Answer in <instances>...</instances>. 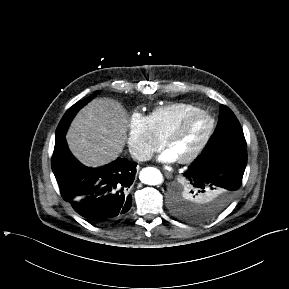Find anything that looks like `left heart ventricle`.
<instances>
[{
    "label": "left heart ventricle",
    "mask_w": 289,
    "mask_h": 289,
    "mask_svg": "<svg viewBox=\"0 0 289 289\" xmlns=\"http://www.w3.org/2000/svg\"><path fill=\"white\" fill-rule=\"evenodd\" d=\"M209 120L204 116L194 118L187 126L185 132L178 139L171 142L170 149L177 158L186 155L201 140L207 131Z\"/></svg>",
    "instance_id": "b2bd125f"
}]
</instances>
